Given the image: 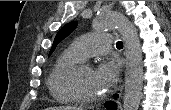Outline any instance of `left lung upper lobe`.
Listing matches in <instances>:
<instances>
[{"label":"left lung upper lobe","instance_id":"1","mask_svg":"<svg viewBox=\"0 0 171 110\" xmlns=\"http://www.w3.org/2000/svg\"><path fill=\"white\" fill-rule=\"evenodd\" d=\"M76 25H77V22H70L60 29V31L57 33V35L54 39V42H53V45H52L49 55L54 51L57 44L61 40H63L66 36H68L75 29Z\"/></svg>","mask_w":171,"mask_h":110}]
</instances>
